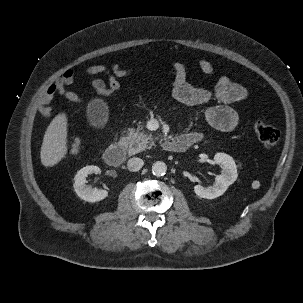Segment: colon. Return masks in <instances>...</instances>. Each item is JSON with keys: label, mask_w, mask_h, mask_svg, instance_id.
I'll use <instances>...</instances> for the list:
<instances>
[{"label": "colon", "mask_w": 303, "mask_h": 303, "mask_svg": "<svg viewBox=\"0 0 303 303\" xmlns=\"http://www.w3.org/2000/svg\"><path fill=\"white\" fill-rule=\"evenodd\" d=\"M112 93L113 92L106 90L105 94L102 97H107ZM251 129L258 137V139L268 147H274L278 145L281 140V134L279 130L261 121H253L251 123ZM80 147L81 139L79 137H75L70 143L69 154L76 155L79 152Z\"/></svg>", "instance_id": "colon-1"}]
</instances>
